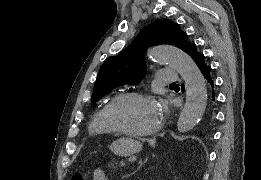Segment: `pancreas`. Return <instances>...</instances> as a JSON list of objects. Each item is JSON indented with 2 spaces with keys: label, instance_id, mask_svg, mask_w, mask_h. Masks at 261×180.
Here are the masks:
<instances>
[{
  "label": "pancreas",
  "instance_id": "obj_1",
  "mask_svg": "<svg viewBox=\"0 0 261 180\" xmlns=\"http://www.w3.org/2000/svg\"><path fill=\"white\" fill-rule=\"evenodd\" d=\"M139 150H141V146ZM116 164H117V159H110L109 162L106 163V166L108 167L109 170H117L118 166Z\"/></svg>",
  "mask_w": 261,
  "mask_h": 180
}]
</instances>
